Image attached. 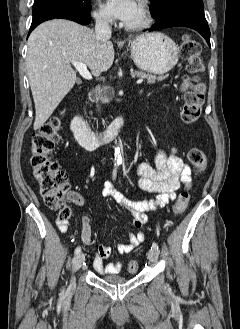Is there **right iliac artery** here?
Instances as JSON below:
<instances>
[{"instance_id":"1","label":"right iliac artery","mask_w":240,"mask_h":329,"mask_svg":"<svg viewBox=\"0 0 240 329\" xmlns=\"http://www.w3.org/2000/svg\"><path fill=\"white\" fill-rule=\"evenodd\" d=\"M116 174H117V170L115 168L114 172H113V179L116 178ZM81 252V247H77L74 251L75 255H78Z\"/></svg>"}]
</instances>
